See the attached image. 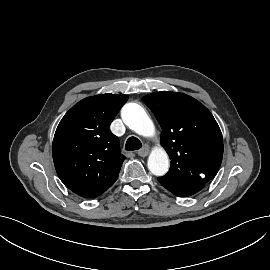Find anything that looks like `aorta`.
I'll return each instance as SVG.
<instances>
[{
	"mask_svg": "<svg viewBox=\"0 0 270 270\" xmlns=\"http://www.w3.org/2000/svg\"><path fill=\"white\" fill-rule=\"evenodd\" d=\"M124 123L139 135L149 137L155 127L146 111L137 103H127L121 111ZM148 169L156 176H163L169 169V158L164 149H155L148 158Z\"/></svg>",
	"mask_w": 270,
	"mask_h": 270,
	"instance_id": "obj_1",
	"label": "aorta"
}]
</instances>
